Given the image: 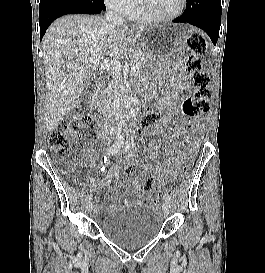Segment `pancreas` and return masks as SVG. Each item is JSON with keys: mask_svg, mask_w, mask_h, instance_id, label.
I'll return each mask as SVG.
<instances>
[{"mask_svg": "<svg viewBox=\"0 0 265 273\" xmlns=\"http://www.w3.org/2000/svg\"><path fill=\"white\" fill-rule=\"evenodd\" d=\"M128 56L131 59V65L135 66L138 70L143 69L151 60L149 54L140 47L135 48L132 52L128 54ZM122 84H123L122 75L120 73H113L110 84L107 87H105L101 92L99 107H102L104 109L108 108L110 103L111 92L114 89L120 87ZM116 91L117 90H115L114 93Z\"/></svg>", "mask_w": 265, "mask_h": 273, "instance_id": "pancreas-1", "label": "pancreas"}]
</instances>
